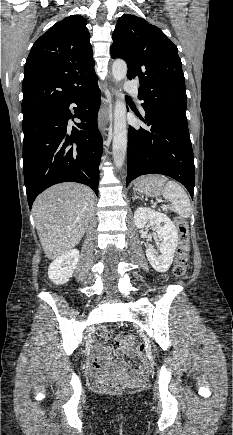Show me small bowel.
Returning <instances> with one entry per match:
<instances>
[{"label":"small bowel","mask_w":233,"mask_h":435,"mask_svg":"<svg viewBox=\"0 0 233 435\" xmlns=\"http://www.w3.org/2000/svg\"><path fill=\"white\" fill-rule=\"evenodd\" d=\"M117 352L119 354H125V355H127L129 357H136V356H138L137 349L132 347V346H130L129 344L121 345L117 349ZM97 356L99 358H106V357L109 356V350L104 348V347H100V350L97 352ZM116 367L119 368V369H123L124 365L118 364V365H116ZM137 370L140 373H145L147 371V366L142 363V364H140L137 367ZM107 371L108 370L103 369L101 367V365L97 361L92 362V364H91V372H92V375H93V377L95 379H99V378L103 377L105 372H107Z\"/></svg>","instance_id":"c3829d8e"}]
</instances>
